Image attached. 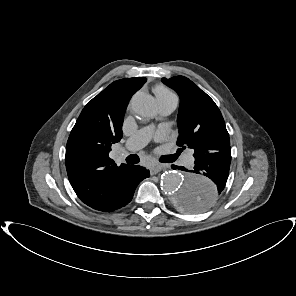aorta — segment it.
I'll list each match as a JSON object with an SVG mask.
<instances>
[{"label":"aorta","mask_w":296,"mask_h":296,"mask_svg":"<svg viewBox=\"0 0 296 296\" xmlns=\"http://www.w3.org/2000/svg\"><path fill=\"white\" fill-rule=\"evenodd\" d=\"M130 106L136 115L146 118L152 113L153 100L148 93L138 92ZM161 186L168 202L187 213L207 212L219 197L218 186L212 178L186 170L166 171L161 177Z\"/></svg>","instance_id":"aorta-1"}]
</instances>
